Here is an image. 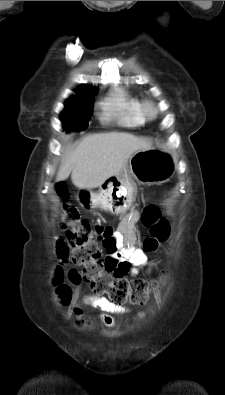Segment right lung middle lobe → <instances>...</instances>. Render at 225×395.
Listing matches in <instances>:
<instances>
[{"instance_id": "obj_1", "label": "right lung middle lobe", "mask_w": 225, "mask_h": 395, "mask_svg": "<svg viewBox=\"0 0 225 395\" xmlns=\"http://www.w3.org/2000/svg\"><path fill=\"white\" fill-rule=\"evenodd\" d=\"M94 95L89 97L74 96L66 101L65 109L61 112L60 117L64 129L85 130L88 127V121L92 115Z\"/></svg>"}]
</instances>
